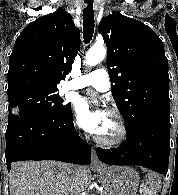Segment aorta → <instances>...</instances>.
Masks as SVG:
<instances>
[{
	"instance_id": "aorta-1",
	"label": "aorta",
	"mask_w": 178,
	"mask_h": 195,
	"mask_svg": "<svg viewBox=\"0 0 178 195\" xmlns=\"http://www.w3.org/2000/svg\"><path fill=\"white\" fill-rule=\"evenodd\" d=\"M106 48L103 45H95L89 49L85 56V63L89 66L99 64L106 56Z\"/></svg>"
}]
</instances>
